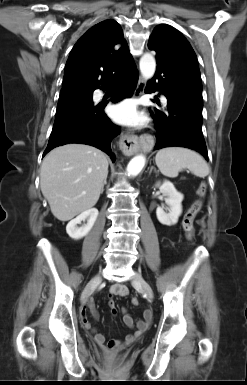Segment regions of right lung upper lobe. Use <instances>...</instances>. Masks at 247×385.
I'll return each instance as SVG.
<instances>
[{
  "label": "right lung upper lobe",
  "instance_id": "cb5924a9",
  "mask_svg": "<svg viewBox=\"0 0 247 385\" xmlns=\"http://www.w3.org/2000/svg\"><path fill=\"white\" fill-rule=\"evenodd\" d=\"M134 64L120 25L102 21L76 42L66 63L61 91L106 87Z\"/></svg>",
  "mask_w": 247,
  "mask_h": 385
}]
</instances>
